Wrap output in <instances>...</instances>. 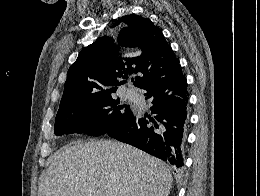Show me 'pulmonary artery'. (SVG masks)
Returning a JSON list of instances; mask_svg holds the SVG:
<instances>
[{
	"mask_svg": "<svg viewBox=\"0 0 260 196\" xmlns=\"http://www.w3.org/2000/svg\"><path fill=\"white\" fill-rule=\"evenodd\" d=\"M124 97L133 102L138 100V95L133 89H127L124 93Z\"/></svg>",
	"mask_w": 260,
	"mask_h": 196,
	"instance_id": "obj_1",
	"label": "pulmonary artery"
}]
</instances>
